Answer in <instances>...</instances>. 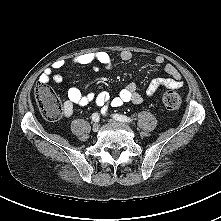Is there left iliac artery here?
Returning a JSON list of instances; mask_svg holds the SVG:
<instances>
[{"mask_svg":"<svg viewBox=\"0 0 221 221\" xmlns=\"http://www.w3.org/2000/svg\"><path fill=\"white\" fill-rule=\"evenodd\" d=\"M113 118H115L116 120L122 121V122H132L133 119H131L130 117H127L125 115H121V114H114Z\"/></svg>","mask_w":221,"mask_h":221,"instance_id":"left-iliac-artery-1","label":"left iliac artery"}]
</instances>
